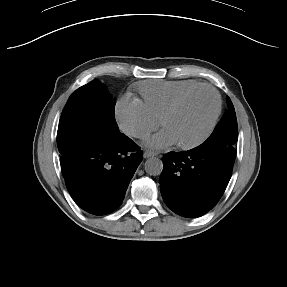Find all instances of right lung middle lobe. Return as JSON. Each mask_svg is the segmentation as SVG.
Here are the masks:
<instances>
[{
  "instance_id": "right-lung-middle-lobe-1",
  "label": "right lung middle lobe",
  "mask_w": 287,
  "mask_h": 287,
  "mask_svg": "<svg viewBox=\"0 0 287 287\" xmlns=\"http://www.w3.org/2000/svg\"><path fill=\"white\" fill-rule=\"evenodd\" d=\"M114 107L107 87L98 79L77 89L69 97L59 121L57 146L61 156L120 133Z\"/></svg>"
}]
</instances>
